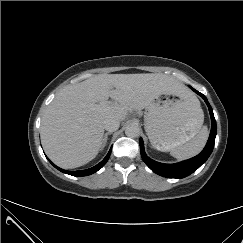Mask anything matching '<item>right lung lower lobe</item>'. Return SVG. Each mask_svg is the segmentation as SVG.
Segmentation results:
<instances>
[{"label": "right lung lower lobe", "instance_id": "98d812e1", "mask_svg": "<svg viewBox=\"0 0 243 243\" xmlns=\"http://www.w3.org/2000/svg\"><path fill=\"white\" fill-rule=\"evenodd\" d=\"M110 154H111V149L108 152V154L106 155V157L99 164H97L96 166H94L90 169L80 170V171L63 170V169L57 167L56 165H54L50 160L49 161L54 167H56L58 170H60L63 173H66V174H69V175H72V176H87V175H91V174L97 172L99 169H101L105 165V163L108 161Z\"/></svg>", "mask_w": 243, "mask_h": 243}]
</instances>
